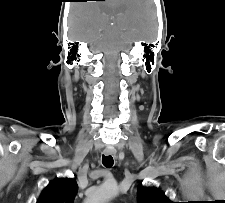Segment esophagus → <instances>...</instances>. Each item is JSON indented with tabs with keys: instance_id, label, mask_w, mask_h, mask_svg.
<instances>
[{
	"instance_id": "esophagus-1",
	"label": "esophagus",
	"mask_w": 225,
	"mask_h": 203,
	"mask_svg": "<svg viewBox=\"0 0 225 203\" xmlns=\"http://www.w3.org/2000/svg\"><path fill=\"white\" fill-rule=\"evenodd\" d=\"M103 154L108 156V155H112V156H116V150L115 149H105L103 151Z\"/></svg>"
}]
</instances>
